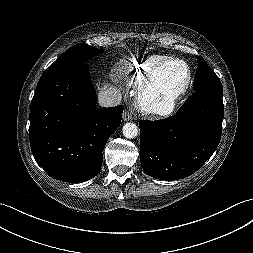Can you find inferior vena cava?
<instances>
[{"label": "inferior vena cava", "mask_w": 253, "mask_h": 253, "mask_svg": "<svg viewBox=\"0 0 253 253\" xmlns=\"http://www.w3.org/2000/svg\"><path fill=\"white\" fill-rule=\"evenodd\" d=\"M98 100L102 107H114L120 104L122 96L117 89L108 88L99 93Z\"/></svg>", "instance_id": "1"}]
</instances>
